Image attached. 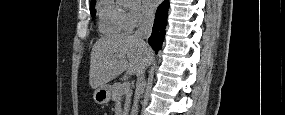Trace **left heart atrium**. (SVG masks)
<instances>
[{"label": "left heart atrium", "instance_id": "1", "mask_svg": "<svg viewBox=\"0 0 285 115\" xmlns=\"http://www.w3.org/2000/svg\"><path fill=\"white\" fill-rule=\"evenodd\" d=\"M157 0H145L144 5L148 11H153L157 5Z\"/></svg>", "mask_w": 285, "mask_h": 115}]
</instances>
